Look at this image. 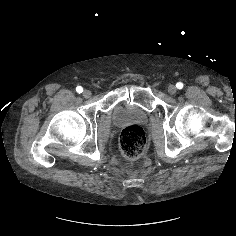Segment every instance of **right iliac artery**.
<instances>
[{
    "mask_svg": "<svg viewBox=\"0 0 236 236\" xmlns=\"http://www.w3.org/2000/svg\"><path fill=\"white\" fill-rule=\"evenodd\" d=\"M76 91L78 93H82L83 92V88L81 86H78V87H76Z\"/></svg>",
    "mask_w": 236,
    "mask_h": 236,
    "instance_id": "1",
    "label": "right iliac artery"
}]
</instances>
